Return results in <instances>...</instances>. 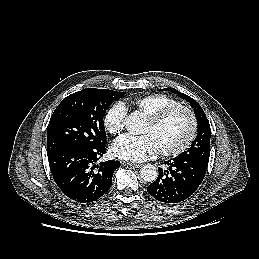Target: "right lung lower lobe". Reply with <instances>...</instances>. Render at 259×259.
I'll use <instances>...</instances> for the list:
<instances>
[{
  "label": "right lung lower lobe",
  "mask_w": 259,
  "mask_h": 259,
  "mask_svg": "<svg viewBox=\"0 0 259 259\" xmlns=\"http://www.w3.org/2000/svg\"><path fill=\"white\" fill-rule=\"evenodd\" d=\"M105 147L63 146L47 153L52 176L67 197L89 203L110 189L113 173L121 165L115 160L94 164Z\"/></svg>",
  "instance_id": "1"
}]
</instances>
